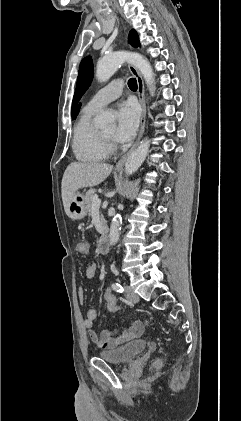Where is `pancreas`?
<instances>
[{
  "label": "pancreas",
  "mask_w": 241,
  "mask_h": 421,
  "mask_svg": "<svg viewBox=\"0 0 241 421\" xmlns=\"http://www.w3.org/2000/svg\"><path fill=\"white\" fill-rule=\"evenodd\" d=\"M95 192L96 191L94 189H90L85 194V204H86V209H87V212H88V216L91 215L92 202H93V197L95 195ZM100 220H101L102 225L105 226L106 221H105L103 215L100 216Z\"/></svg>",
  "instance_id": "obj_1"
}]
</instances>
